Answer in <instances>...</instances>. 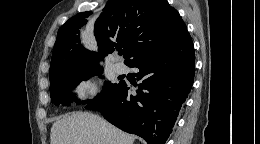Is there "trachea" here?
Wrapping results in <instances>:
<instances>
[{
    "mask_svg": "<svg viewBox=\"0 0 260 144\" xmlns=\"http://www.w3.org/2000/svg\"><path fill=\"white\" fill-rule=\"evenodd\" d=\"M123 53H124V52H123L122 50H119V51H118V54H119V55H123Z\"/></svg>",
    "mask_w": 260,
    "mask_h": 144,
    "instance_id": "trachea-1",
    "label": "trachea"
}]
</instances>
